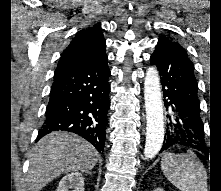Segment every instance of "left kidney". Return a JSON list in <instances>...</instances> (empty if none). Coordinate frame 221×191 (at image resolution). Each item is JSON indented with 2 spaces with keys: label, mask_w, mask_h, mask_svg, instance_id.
Wrapping results in <instances>:
<instances>
[{
  "label": "left kidney",
  "mask_w": 221,
  "mask_h": 191,
  "mask_svg": "<svg viewBox=\"0 0 221 191\" xmlns=\"http://www.w3.org/2000/svg\"><path fill=\"white\" fill-rule=\"evenodd\" d=\"M154 191H164V190L161 189V188H157V189H155Z\"/></svg>",
  "instance_id": "left-kidney-1"
}]
</instances>
